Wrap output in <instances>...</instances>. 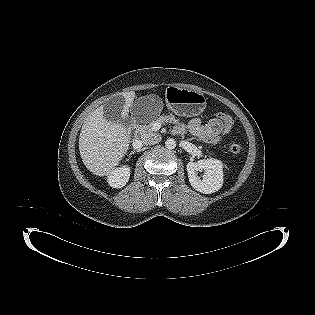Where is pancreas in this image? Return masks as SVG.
Here are the masks:
<instances>
[{
  "mask_svg": "<svg viewBox=\"0 0 315 315\" xmlns=\"http://www.w3.org/2000/svg\"><path fill=\"white\" fill-rule=\"evenodd\" d=\"M164 123V122H170L177 124L179 123V120L176 119L173 115H168V116H160L159 118L155 119L154 121L150 122L148 125H142L138 128V132L141 135L142 138L152 135V134H157L153 130V125L154 123Z\"/></svg>",
  "mask_w": 315,
  "mask_h": 315,
  "instance_id": "cf45deb5",
  "label": "pancreas"
}]
</instances>
